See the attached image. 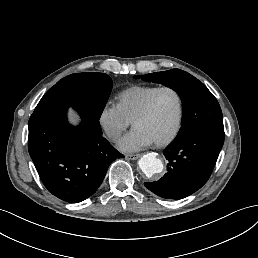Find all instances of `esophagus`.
<instances>
[{
  "instance_id": "34e87169",
  "label": "esophagus",
  "mask_w": 258,
  "mask_h": 258,
  "mask_svg": "<svg viewBox=\"0 0 258 258\" xmlns=\"http://www.w3.org/2000/svg\"><path fill=\"white\" fill-rule=\"evenodd\" d=\"M140 156H141L140 154H128V155L125 156V158L128 159V160H136Z\"/></svg>"
}]
</instances>
